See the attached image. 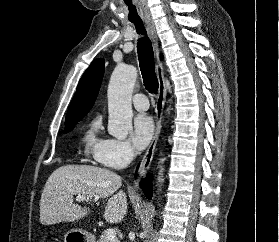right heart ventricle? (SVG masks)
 <instances>
[{
	"mask_svg": "<svg viewBox=\"0 0 279 242\" xmlns=\"http://www.w3.org/2000/svg\"><path fill=\"white\" fill-rule=\"evenodd\" d=\"M101 119L94 118L85 131L82 141L86 155L95 156L100 148L105 144L106 139L100 135Z\"/></svg>",
	"mask_w": 279,
	"mask_h": 242,
	"instance_id": "1",
	"label": "right heart ventricle"
}]
</instances>
